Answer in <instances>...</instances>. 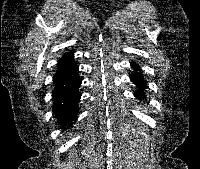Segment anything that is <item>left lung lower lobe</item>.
<instances>
[{
  "mask_svg": "<svg viewBox=\"0 0 200 169\" xmlns=\"http://www.w3.org/2000/svg\"><path fill=\"white\" fill-rule=\"evenodd\" d=\"M131 66L135 69V70H139L138 66L135 63H132ZM131 80L133 81V83L136 84L137 86V90L134 93L135 96L137 97H141L144 98V93L143 90L147 87L145 80L143 79V77L141 76L140 73H136L135 75H132Z\"/></svg>",
  "mask_w": 200,
  "mask_h": 169,
  "instance_id": "0a47b994",
  "label": "left lung lower lobe"
}]
</instances>
